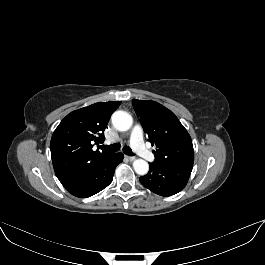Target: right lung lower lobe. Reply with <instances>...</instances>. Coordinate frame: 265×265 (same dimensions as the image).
Segmentation results:
<instances>
[{
	"instance_id": "obj_1",
	"label": "right lung lower lobe",
	"mask_w": 265,
	"mask_h": 265,
	"mask_svg": "<svg viewBox=\"0 0 265 265\" xmlns=\"http://www.w3.org/2000/svg\"><path fill=\"white\" fill-rule=\"evenodd\" d=\"M122 153L110 154L85 172L63 182L64 188L72 195L80 198L90 197L104 188L112 181L116 166L122 162Z\"/></svg>"
}]
</instances>
